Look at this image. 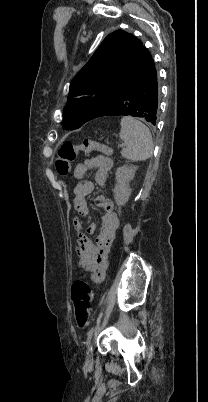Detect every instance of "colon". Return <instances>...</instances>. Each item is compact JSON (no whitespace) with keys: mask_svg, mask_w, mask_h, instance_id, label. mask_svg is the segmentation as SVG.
<instances>
[{"mask_svg":"<svg viewBox=\"0 0 208 402\" xmlns=\"http://www.w3.org/2000/svg\"><path fill=\"white\" fill-rule=\"evenodd\" d=\"M93 151H98L105 155H110L111 153L109 147L92 140H84L80 144L64 141L58 149L54 168L60 176H66L80 153H91ZM81 275L80 279L73 282L71 292L75 305L76 322L80 328H85L92 314L95 293L86 281L84 274L81 273Z\"/></svg>","mask_w":208,"mask_h":402,"instance_id":"colon-1","label":"colon"}]
</instances>
